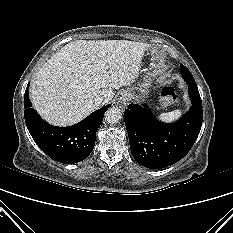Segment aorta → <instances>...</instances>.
<instances>
[{"label":"aorta","instance_id":"aorta-1","mask_svg":"<svg viewBox=\"0 0 233 233\" xmlns=\"http://www.w3.org/2000/svg\"><path fill=\"white\" fill-rule=\"evenodd\" d=\"M122 118V111L118 107H111L105 112V120L110 124L118 123Z\"/></svg>","mask_w":233,"mask_h":233}]
</instances>
